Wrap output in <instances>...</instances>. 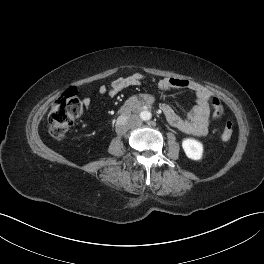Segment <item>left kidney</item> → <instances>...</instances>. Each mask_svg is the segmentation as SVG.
<instances>
[{"label":"left kidney","mask_w":264,"mask_h":264,"mask_svg":"<svg viewBox=\"0 0 264 264\" xmlns=\"http://www.w3.org/2000/svg\"><path fill=\"white\" fill-rule=\"evenodd\" d=\"M186 156L192 160H200L203 155V145L197 140L187 138L182 141Z\"/></svg>","instance_id":"1"}]
</instances>
